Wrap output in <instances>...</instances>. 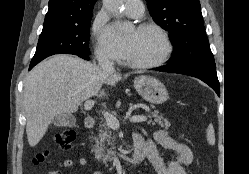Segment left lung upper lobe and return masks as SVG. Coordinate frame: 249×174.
<instances>
[{
  "label": "left lung upper lobe",
  "mask_w": 249,
  "mask_h": 174,
  "mask_svg": "<svg viewBox=\"0 0 249 174\" xmlns=\"http://www.w3.org/2000/svg\"><path fill=\"white\" fill-rule=\"evenodd\" d=\"M153 20L169 32L173 53L167 66H215L199 0H147Z\"/></svg>",
  "instance_id": "5c2ea615"
}]
</instances>
